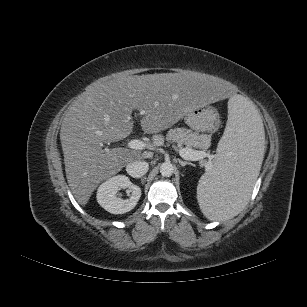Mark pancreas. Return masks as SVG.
Segmentation results:
<instances>
[{
    "label": "pancreas",
    "instance_id": "cf45deb5",
    "mask_svg": "<svg viewBox=\"0 0 307 307\" xmlns=\"http://www.w3.org/2000/svg\"><path fill=\"white\" fill-rule=\"evenodd\" d=\"M156 142L161 143L164 138L159 135L155 137ZM166 140L179 145H185L187 148H195L205 151L209 145V139L206 135L198 134L186 128L170 129L166 135Z\"/></svg>",
    "mask_w": 307,
    "mask_h": 307
}]
</instances>
